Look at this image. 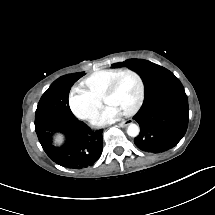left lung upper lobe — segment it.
I'll use <instances>...</instances> for the list:
<instances>
[{
	"label": "left lung upper lobe",
	"instance_id": "5c2ea615",
	"mask_svg": "<svg viewBox=\"0 0 215 215\" xmlns=\"http://www.w3.org/2000/svg\"><path fill=\"white\" fill-rule=\"evenodd\" d=\"M137 71L145 85V100L133 117L140 126L135 145L145 152H164L178 144L188 126V102L180 81L167 69L146 60L116 66Z\"/></svg>",
	"mask_w": 215,
	"mask_h": 215
}]
</instances>
